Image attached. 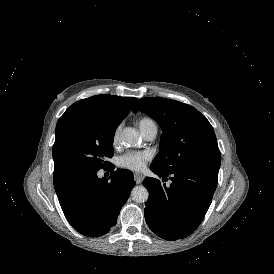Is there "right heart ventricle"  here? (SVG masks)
<instances>
[{
  "label": "right heart ventricle",
  "mask_w": 274,
  "mask_h": 274,
  "mask_svg": "<svg viewBox=\"0 0 274 274\" xmlns=\"http://www.w3.org/2000/svg\"><path fill=\"white\" fill-rule=\"evenodd\" d=\"M148 121H152V120L147 118V117L141 118L140 121H139V126L142 125V124L147 123Z\"/></svg>",
  "instance_id": "obj_1"
}]
</instances>
